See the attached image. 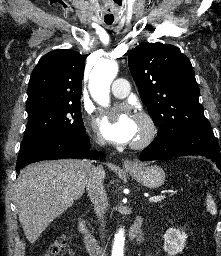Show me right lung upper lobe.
Masks as SVG:
<instances>
[{
    "mask_svg": "<svg viewBox=\"0 0 221 256\" xmlns=\"http://www.w3.org/2000/svg\"><path fill=\"white\" fill-rule=\"evenodd\" d=\"M85 58L71 49L44 55L28 85L26 109L42 104L80 103Z\"/></svg>",
    "mask_w": 221,
    "mask_h": 256,
    "instance_id": "cb5924a9",
    "label": "right lung upper lobe"
}]
</instances>
